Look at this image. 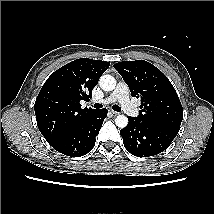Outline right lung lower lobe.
Instances as JSON below:
<instances>
[{
  "instance_id": "obj_1",
  "label": "right lung lower lobe",
  "mask_w": 214,
  "mask_h": 214,
  "mask_svg": "<svg viewBox=\"0 0 214 214\" xmlns=\"http://www.w3.org/2000/svg\"><path fill=\"white\" fill-rule=\"evenodd\" d=\"M107 113V109L96 110L51 146L67 156L79 157L87 154L95 145V138Z\"/></svg>"
}]
</instances>
